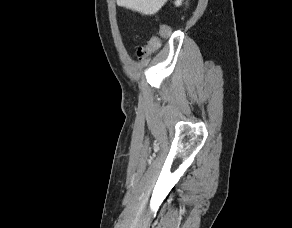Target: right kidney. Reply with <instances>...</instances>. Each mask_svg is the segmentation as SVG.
I'll use <instances>...</instances> for the list:
<instances>
[{"instance_id":"1","label":"right kidney","mask_w":292,"mask_h":228,"mask_svg":"<svg viewBox=\"0 0 292 228\" xmlns=\"http://www.w3.org/2000/svg\"><path fill=\"white\" fill-rule=\"evenodd\" d=\"M181 3H182V0H176V2H175L176 6H180Z\"/></svg>"}]
</instances>
